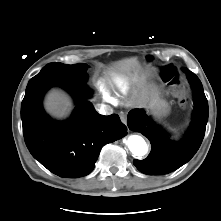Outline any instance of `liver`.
<instances>
[{"label": "liver", "instance_id": "liver-1", "mask_svg": "<svg viewBox=\"0 0 221 221\" xmlns=\"http://www.w3.org/2000/svg\"><path fill=\"white\" fill-rule=\"evenodd\" d=\"M120 68L124 71H130L136 66L135 59H127L119 64ZM149 92L146 89H142L141 93L135 96L132 100L133 105L136 107H143L148 102ZM69 99L58 91H52L48 94L45 107L46 110L54 116L63 117L67 114L70 107Z\"/></svg>", "mask_w": 221, "mask_h": 221}]
</instances>
